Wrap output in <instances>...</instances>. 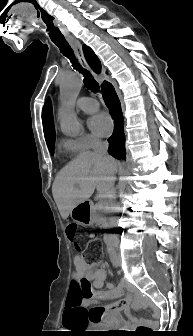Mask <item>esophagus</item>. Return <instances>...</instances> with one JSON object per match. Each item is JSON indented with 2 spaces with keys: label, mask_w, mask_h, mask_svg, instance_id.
Instances as JSON below:
<instances>
[{
  "label": "esophagus",
  "mask_w": 193,
  "mask_h": 336,
  "mask_svg": "<svg viewBox=\"0 0 193 336\" xmlns=\"http://www.w3.org/2000/svg\"><path fill=\"white\" fill-rule=\"evenodd\" d=\"M81 65L83 68H86L87 70H89L94 76H97L95 72H93V70L91 69V67L89 66L86 58H85V55H84V52H83V49H82V44L80 43L79 40L77 39H72L70 41Z\"/></svg>",
  "instance_id": "obj_1"
}]
</instances>
